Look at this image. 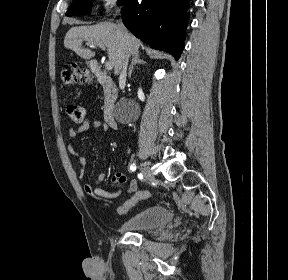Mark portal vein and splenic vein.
<instances>
[{
    "mask_svg": "<svg viewBox=\"0 0 288 280\" xmlns=\"http://www.w3.org/2000/svg\"><path fill=\"white\" fill-rule=\"evenodd\" d=\"M89 44H91V45H98L100 48H102L103 50L105 49V46L102 44V43H97V42H91V43H89ZM105 68L107 69V70H111L112 69V64H111V62H106L105 63Z\"/></svg>",
    "mask_w": 288,
    "mask_h": 280,
    "instance_id": "obj_1",
    "label": "portal vein and splenic vein"
}]
</instances>
